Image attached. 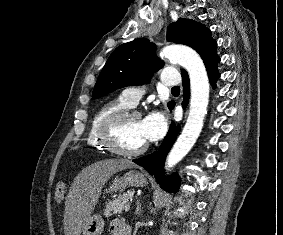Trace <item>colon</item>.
I'll use <instances>...</instances> for the list:
<instances>
[{"instance_id":"colon-1","label":"colon","mask_w":283,"mask_h":235,"mask_svg":"<svg viewBox=\"0 0 283 235\" xmlns=\"http://www.w3.org/2000/svg\"><path fill=\"white\" fill-rule=\"evenodd\" d=\"M65 191H66L65 182H63V181L58 182L57 185H56V188H55V193H54L55 200L57 202H60L63 199V197L65 195Z\"/></svg>"}]
</instances>
